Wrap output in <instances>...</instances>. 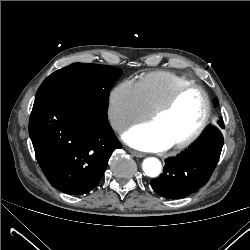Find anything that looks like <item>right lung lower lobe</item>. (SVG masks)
Returning a JSON list of instances; mask_svg holds the SVG:
<instances>
[{
  "label": "right lung lower lobe",
  "instance_id": "98d812e1",
  "mask_svg": "<svg viewBox=\"0 0 250 250\" xmlns=\"http://www.w3.org/2000/svg\"><path fill=\"white\" fill-rule=\"evenodd\" d=\"M29 135L48 181L73 195L97 185L113 151L121 146L107 110L66 94L35 98Z\"/></svg>",
  "mask_w": 250,
  "mask_h": 250
}]
</instances>
